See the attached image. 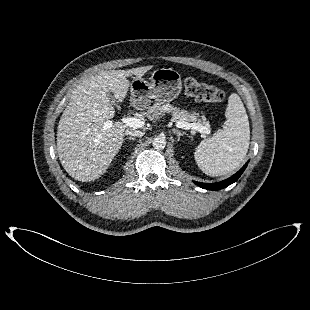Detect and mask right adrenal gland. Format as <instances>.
I'll return each mask as SVG.
<instances>
[{
    "instance_id": "right-adrenal-gland-1",
    "label": "right adrenal gland",
    "mask_w": 310,
    "mask_h": 310,
    "mask_svg": "<svg viewBox=\"0 0 310 310\" xmlns=\"http://www.w3.org/2000/svg\"><path fill=\"white\" fill-rule=\"evenodd\" d=\"M125 140H134L133 137L126 138Z\"/></svg>"
}]
</instances>
